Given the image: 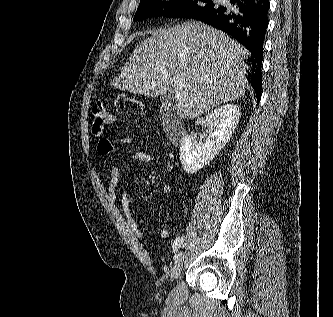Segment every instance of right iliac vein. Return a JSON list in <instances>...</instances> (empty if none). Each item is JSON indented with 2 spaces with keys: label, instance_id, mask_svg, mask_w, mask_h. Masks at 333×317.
Returning <instances> with one entry per match:
<instances>
[{
  "label": "right iliac vein",
  "instance_id": "63e3f726",
  "mask_svg": "<svg viewBox=\"0 0 333 317\" xmlns=\"http://www.w3.org/2000/svg\"><path fill=\"white\" fill-rule=\"evenodd\" d=\"M184 263V253L181 251L175 257V262L172 268V276L174 279H178Z\"/></svg>",
  "mask_w": 333,
  "mask_h": 317
}]
</instances>
